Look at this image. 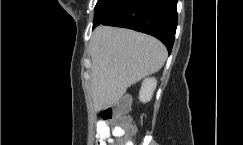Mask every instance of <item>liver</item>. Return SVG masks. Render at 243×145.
I'll list each match as a JSON object with an SVG mask.
<instances>
[{"label": "liver", "instance_id": "1", "mask_svg": "<svg viewBox=\"0 0 243 145\" xmlns=\"http://www.w3.org/2000/svg\"><path fill=\"white\" fill-rule=\"evenodd\" d=\"M167 58L154 37L128 29L98 26L91 40V86L96 110L118 103L128 87L156 73Z\"/></svg>", "mask_w": 243, "mask_h": 145}]
</instances>
